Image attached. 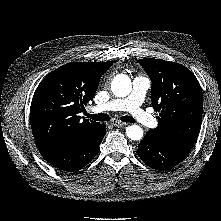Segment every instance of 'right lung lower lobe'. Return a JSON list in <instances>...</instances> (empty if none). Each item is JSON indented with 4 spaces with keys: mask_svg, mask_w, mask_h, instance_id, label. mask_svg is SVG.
I'll return each mask as SVG.
<instances>
[{
    "mask_svg": "<svg viewBox=\"0 0 221 221\" xmlns=\"http://www.w3.org/2000/svg\"><path fill=\"white\" fill-rule=\"evenodd\" d=\"M105 133L106 127L101 124L94 132L69 144L36 142V145L51 165L72 172L86 166L97 155Z\"/></svg>",
    "mask_w": 221,
    "mask_h": 221,
    "instance_id": "98d812e1",
    "label": "right lung lower lobe"
}]
</instances>
